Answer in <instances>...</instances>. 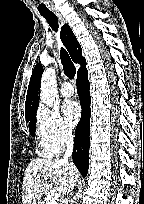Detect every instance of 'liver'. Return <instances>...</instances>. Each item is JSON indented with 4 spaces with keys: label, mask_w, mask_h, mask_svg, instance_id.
I'll use <instances>...</instances> for the list:
<instances>
[{
    "label": "liver",
    "mask_w": 144,
    "mask_h": 204,
    "mask_svg": "<svg viewBox=\"0 0 144 204\" xmlns=\"http://www.w3.org/2000/svg\"><path fill=\"white\" fill-rule=\"evenodd\" d=\"M45 177L43 180L38 178ZM80 176L77 168L60 159H33L28 164L23 178V204H37L41 195L56 191L69 194Z\"/></svg>",
    "instance_id": "1"
}]
</instances>
